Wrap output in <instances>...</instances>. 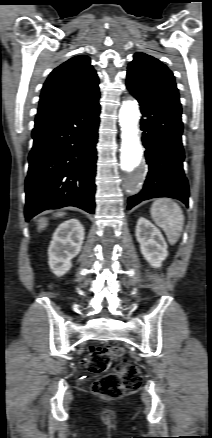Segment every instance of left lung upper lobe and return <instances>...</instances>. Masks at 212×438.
I'll return each instance as SVG.
<instances>
[{"label":"left lung upper lobe","instance_id":"left-lung-upper-lobe-1","mask_svg":"<svg viewBox=\"0 0 212 438\" xmlns=\"http://www.w3.org/2000/svg\"><path fill=\"white\" fill-rule=\"evenodd\" d=\"M126 84L180 104L172 72L159 60L145 53L134 55L128 66Z\"/></svg>","mask_w":212,"mask_h":438}]
</instances>
